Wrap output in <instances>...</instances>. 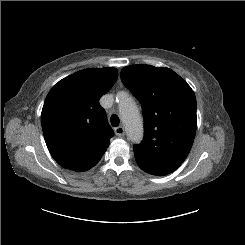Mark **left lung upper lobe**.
<instances>
[{"label": "left lung upper lobe", "instance_id": "left-lung-upper-lobe-1", "mask_svg": "<svg viewBox=\"0 0 245 245\" xmlns=\"http://www.w3.org/2000/svg\"><path fill=\"white\" fill-rule=\"evenodd\" d=\"M123 84L143 107L144 139L134 145L136 162L176 170L192 147L196 127V98L178 74L166 67L131 65L121 71Z\"/></svg>", "mask_w": 245, "mask_h": 245}]
</instances>
